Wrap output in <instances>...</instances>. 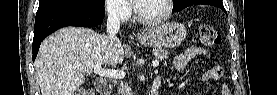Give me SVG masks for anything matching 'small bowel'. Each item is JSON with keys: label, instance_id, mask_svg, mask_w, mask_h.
<instances>
[{"label": "small bowel", "instance_id": "obj_1", "mask_svg": "<svg viewBox=\"0 0 277 95\" xmlns=\"http://www.w3.org/2000/svg\"><path fill=\"white\" fill-rule=\"evenodd\" d=\"M200 56L208 58L209 53L198 46H191L174 58V61H173L174 68L178 71H181L186 67L189 61ZM222 75H223V69L219 66H214V67H211L209 69V72L205 75V80L218 79V78H221ZM221 94H224V95L230 94L224 84L222 85Z\"/></svg>", "mask_w": 277, "mask_h": 95}]
</instances>
